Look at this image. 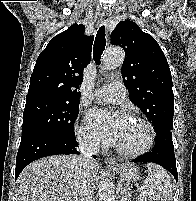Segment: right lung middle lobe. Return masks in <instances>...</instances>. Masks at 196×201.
<instances>
[{
  "mask_svg": "<svg viewBox=\"0 0 196 201\" xmlns=\"http://www.w3.org/2000/svg\"><path fill=\"white\" fill-rule=\"evenodd\" d=\"M79 101L69 102L48 98L26 100L22 136L34 132H50L67 137L74 133Z\"/></svg>",
  "mask_w": 196,
  "mask_h": 201,
  "instance_id": "dd1d6c3e",
  "label": "right lung middle lobe"
}]
</instances>
